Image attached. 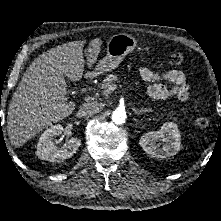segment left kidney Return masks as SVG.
<instances>
[{
	"instance_id": "obj_1",
	"label": "left kidney",
	"mask_w": 221,
	"mask_h": 221,
	"mask_svg": "<svg viewBox=\"0 0 221 221\" xmlns=\"http://www.w3.org/2000/svg\"><path fill=\"white\" fill-rule=\"evenodd\" d=\"M181 136L177 124L166 122L159 131H152L140 138L143 150L157 159H167L176 155L181 146ZM162 142V146L161 143Z\"/></svg>"
}]
</instances>
